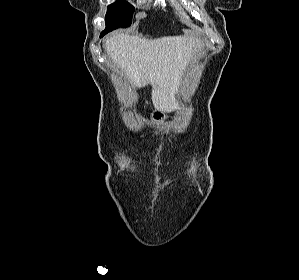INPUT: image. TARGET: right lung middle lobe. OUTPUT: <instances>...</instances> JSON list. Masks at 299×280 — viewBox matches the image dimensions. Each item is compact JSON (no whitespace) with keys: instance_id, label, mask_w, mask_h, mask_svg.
I'll list each match as a JSON object with an SVG mask.
<instances>
[{"instance_id":"dd1d6c3e","label":"right lung middle lobe","mask_w":299,"mask_h":280,"mask_svg":"<svg viewBox=\"0 0 299 280\" xmlns=\"http://www.w3.org/2000/svg\"><path fill=\"white\" fill-rule=\"evenodd\" d=\"M134 7L125 0H117L107 8L106 27L111 30L131 25Z\"/></svg>"}]
</instances>
